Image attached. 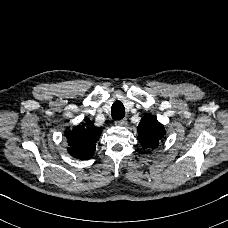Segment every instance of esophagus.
<instances>
[{"label":"esophagus","instance_id":"34e87169","mask_svg":"<svg viewBox=\"0 0 228 228\" xmlns=\"http://www.w3.org/2000/svg\"><path fill=\"white\" fill-rule=\"evenodd\" d=\"M127 123H128V121H127L126 118L115 122V124L118 125V126H126Z\"/></svg>","mask_w":228,"mask_h":228}]
</instances>
